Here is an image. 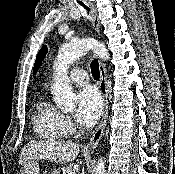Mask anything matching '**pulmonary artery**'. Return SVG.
I'll return each mask as SVG.
<instances>
[{
    "label": "pulmonary artery",
    "mask_w": 175,
    "mask_h": 174,
    "mask_svg": "<svg viewBox=\"0 0 175 174\" xmlns=\"http://www.w3.org/2000/svg\"><path fill=\"white\" fill-rule=\"evenodd\" d=\"M69 78L72 83L77 84V85H84L88 81L87 73L83 69L72 70Z\"/></svg>",
    "instance_id": "pulmonary-artery-1"
}]
</instances>
